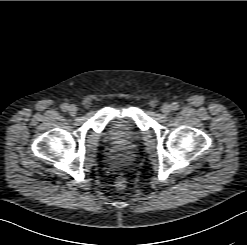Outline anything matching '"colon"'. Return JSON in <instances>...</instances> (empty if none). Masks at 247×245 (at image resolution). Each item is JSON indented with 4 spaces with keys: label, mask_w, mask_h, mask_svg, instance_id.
<instances>
[{
    "label": "colon",
    "mask_w": 247,
    "mask_h": 245,
    "mask_svg": "<svg viewBox=\"0 0 247 245\" xmlns=\"http://www.w3.org/2000/svg\"><path fill=\"white\" fill-rule=\"evenodd\" d=\"M116 187L119 189V190H124L127 186V182H126V179L123 175H119L117 178H116Z\"/></svg>",
    "instance_id": "1"
}]
</instances>
